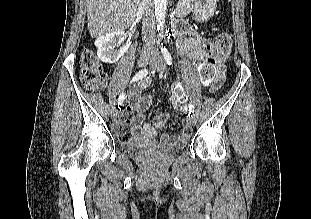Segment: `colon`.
<instances>
[{
    "label": "colon",
    "instance_id": "1",
    "mask_svg": "<svg viewBox=\"0 0 311 219\" xmlns=\"http://www.w3.org/2000/svg\"><path fill=\"white\" fill-rule=\"evenodd\" d=\"M232 48V40L229 34L219 33L213 38L206 39L203 43V51L206 61L200 66V78L203 83H209L214 77L220 75L224 79L223 63L227 60ZM81 80L89 89H100L106 81V74L103 71L96 54L86 49L80 58ZM127 129V127H123ZM122 140H129V135L122 136Z\"/></svg>",
    "mask_w": 311,
    "mask_h": 219
}]
</instances>
